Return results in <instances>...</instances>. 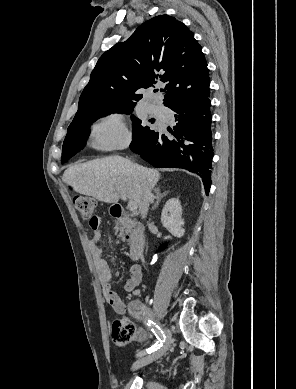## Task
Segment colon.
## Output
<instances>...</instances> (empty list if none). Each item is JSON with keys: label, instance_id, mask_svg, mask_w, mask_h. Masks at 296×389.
<instances>
[{"label": "colon", "instance_id": "colon-1", "mask_svg": "<svg viewBox=\"0 0 296 389\" xmlns=\"http://www.w3.org/2000/svg\"><path fill=\"white\" fill-rule=\"evenodd\" d=\"M73 203L80 216L88 220L91 226L96 223V202L92 198L76 195L73 198ZM134 333V326L128 321L117 319L112 323V338L120 345L127 344L133 338Z\"/></svg>", "mask_w": 296, "mask_h": 389}]
</instances>
